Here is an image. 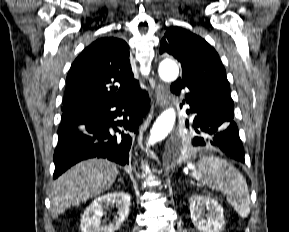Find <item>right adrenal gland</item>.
I'll list each match as a JSON object with an SVG mask.
<instances>
[{
	"mask_svg": "<svg viewBox=\"0 0 289 232\" xmlns=\"http://www.w3.org/2000/svg\"><path fill=\"white\" fill-rule=\"evenodd\" d=\"M118 181H120V182H122L123 183V180H122V178H119V180Z\"/></svg>",
	"mask_w": 289,
	"mask_h": 232,
	"instance_id": "1",
	"label": "right adrenal gland"
}]
</instances>
